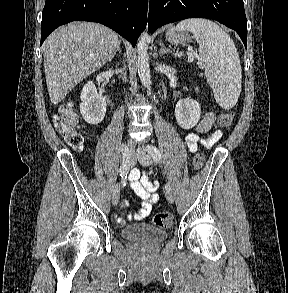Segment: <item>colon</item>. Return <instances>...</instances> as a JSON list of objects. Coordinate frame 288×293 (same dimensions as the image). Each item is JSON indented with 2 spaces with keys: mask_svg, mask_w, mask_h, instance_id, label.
<instances>
[{
  "mask_svg": "<svg viewBox=\"0 0 288 293\" xmlns=\"http://www.w3.org/2000/svg\"><path fill=\"white\" fill-rule=\"evenodd\" d=\"M234 112H222L217 119L219 127H228L234 121ZM54 125L57 131L64 137L68 145L74 149H81L84 144L83 135L79 129L76 115L71 106L62 107L54 117ZM205 163V156L202 152L196 153L192 164L194 169L199 170ZM172 215L168 212L157 213L154 223L161 228H168L172 225Z\"/></svg>",
  "mask_w": 288,
  "mask_h": 293,
  "instance_id": "1",
  "label": "colon"
}]
</instances>
